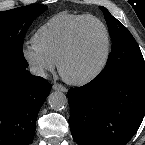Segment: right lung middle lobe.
Returning a JSON list of instances; mask_svg holds the SVG:
<instances>
[{
  "mask_svg": "<svg viewBox=\"0 0 145 145\" xmlns=\"http://www.w3.org/2000/svg\"><path fill=\"white\" fill-rule=\"evenodd\" d=\"M46 9L45 5L32 4L0 12V75L18 73L28 67L23 55L24 36Z\"/></svg>",
  "mask_w": 145,
  "mask_h": 145,
  "instance_id": "right-lung-middle-lobe-1",
  "label": "right lung middle lobe"
}]
</instances>
